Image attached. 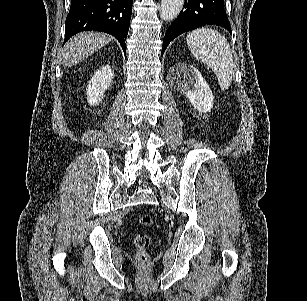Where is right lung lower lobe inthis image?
<instances>
[{"label": "right lung lower lobe", "mask_w": 307, "mask_h": 301, "mask_svg": "<svg viewBox=\"0 0 307 301\" xmlns=\"http://www.w3.org/2000/svg\"><path fill=\"white\" fill-rule=\"evenodd\" d=\"M132 0H71L66 18L65 41L87 30L113 35L126 55L125 39L131 18Z\"/></svg>", "instance_id": "obj_1"}]
</instances>
